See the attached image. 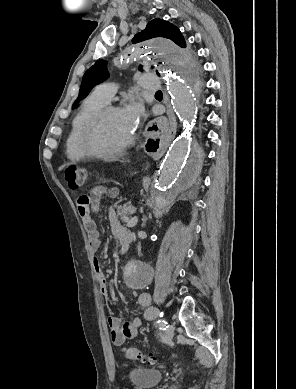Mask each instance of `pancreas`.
<instances>
[{"label": "pancreas", "instance_id": "cf45deb5", "mask_svg": "<svg viewBox=\"0 0 296 389\" xmlns=\"http://www.w3.org/2000/svg\"><path fill=\"white\" fill-rule=\"evenodd\" d=\"M135 207L130 204L120 205L117 208V213L120 216V219L124 222L129 221V216L135 212Z\"/></svg>", "mask_w": 296, "mask_h": 389}]
</instances>
